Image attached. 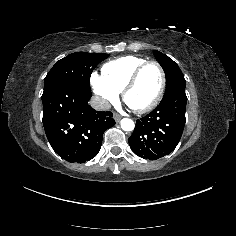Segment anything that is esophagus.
I'll use <instances>...</instances> for the list:
<instances>
[{
    "label": "esophagus",
    "instance_id": "esophagus-1",
    "mask_svg": "<svg viewBox=\"0 0 236 236\" xmlns=\"http://www.w3.org/2000/svg\"><path fill=\"white\" fill-rule=\"evenodd\" d=\"M113 118H114V120H115L116 122H119L120 119L122 118V116L119 115V114H117V113H115V114L113 115Z\"/></svg>",
    "mask_w": 236,
    "mask_h": 236
}]
</instances>
